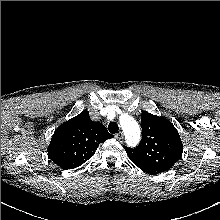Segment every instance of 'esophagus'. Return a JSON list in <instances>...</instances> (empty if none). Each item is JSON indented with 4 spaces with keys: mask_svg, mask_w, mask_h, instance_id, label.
<instances>
[{
    "mask_svg": "<svg viewBox=\"0 0 220 220\" xmlns=\"http://www.w3.org/2000/svg\"><path fill=\"white\" fill-rule=\"evenodd\" d=\"M115 138L119 141H122L124 139V135L122 132L115 134Z\"/></svg>",
    "mask_w": 220,
    "mask_h": 220,
    "instance_id": "1",
    "label": "esophagus"
}]
</instances>
